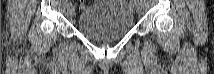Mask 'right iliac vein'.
I'll return each instance as SVG.
<instances>
[{
  "label": "right iliac vein",
  "instance_id": "63e3f726",
  "mask_svg": "<svg viewBox=\"0 0 214 74\" xmlns=\"http://www.w3.org/2000/svg\"><path fill=\"white\" fill-rule=\"evenodd\" d=\"M68 15H69L70 18L74 17V15H75V9H74V7L69 6V8H68Z\"/></svg>",
  "mask_w": 214,
  "mask_h": 74
}]
</instances>
